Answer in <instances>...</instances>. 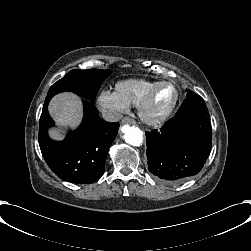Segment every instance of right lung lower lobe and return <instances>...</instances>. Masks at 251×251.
Instances as JSON below:
<instances>
[{"label": "right lung lower lobe", "instance_id": "right-lung-lower-lobe-1", "mask_svg": "<svg viewBox=\"0 0 251 251\" xmlns=\"http://www.w3.org/2000/svg\"><path fill=\"white\" fill-rule=\"evenodd\" d=\"M93 102L83 100L84 118L80 127L61 142L48 136L54 121L48 113V104L43 106L39 121L40 149L50 169L65 181L91 184L104 173L107 153L119 124L101 119Z\"/></svg>", "mask_w": 251, "mask_h": 251}]
</instances>
